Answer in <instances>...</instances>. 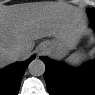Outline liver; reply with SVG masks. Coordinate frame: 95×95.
<instances>
[{"instance_id": "1", "label": "liver", "mask_w": 95, "mask_h": 95, "mask_svg": "<svg viewBox=\"0 0 95 95\" xmlns=\"http://www.w3.org/2000/svg\"><path fill=\"white\" fill-rule=\"evenodd\" d=\"M81 16L72 7L56 3H26L2 6L0 9V65L5 67L19 59H26L35 40L55 37L62 30L80 24ZM21 47L22 56L13 51Z\"/></svg>"}]
</instances>
